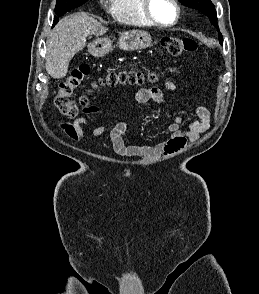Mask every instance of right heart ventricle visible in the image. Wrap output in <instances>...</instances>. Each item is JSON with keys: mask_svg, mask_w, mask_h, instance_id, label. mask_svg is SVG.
Listing matches in <instances>:
<instances>
[{"mask_svg": "<svg viewBox=\"0 0 259 294\" xmlns=\"http://www.w3.org/2000/svg\"><path fill=\"white\" fill-rule=\"evenodd\" d=\"M112 16L120 23L132 26L151 27L142 11V0H112Z\"/></svg>", "mask_w": 259, "mask_h": 294, "instance_id": "right-heart-ventricle-1", "label": "right heart ventricle"}]
</instances>
